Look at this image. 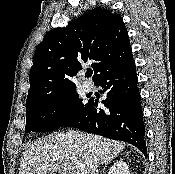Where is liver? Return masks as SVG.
<instances>
[{
    "mask_svg": "<svg viewBox=\"0 0 175 174\" xmlns=\"http://www.w3.org/2000/svg\"><path fill=\"white\" fill-rule=\"evenodd\" d=\"M125 145L119 141L82 132L55 133L30 144L20 160L19 174H75L77 158L86 174H93L95 165L117 156Z\"/></svg>",
    "mask_w": 175,
    "mask_h": 174,
    "instance_id": "obj_1",
    "label": "liver"
}]
</instances>
